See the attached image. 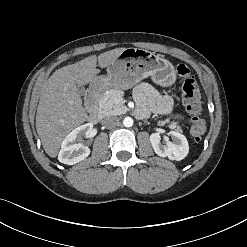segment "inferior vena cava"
Returning a JSON list of instances; mask_svg holds the SVG:
<instances>
[{
    "label": "inferior vena cava",
    "mask_w": 247,
    "mask_h": 247,
    "mask_svg": "<svg viewBox=\"0 0 247 247\" xmlns=\"http://www.w3.org/2000/svg\"><path fill=\"white\" fill-rule=\"evenodd\" d=\"M119 118L117 116H106L102 119L101 123L102 125L108 127V128H113L119 124Z\"/></svg>",
    "instance_id": "inferior-vena-cava-1"
}]
</instances>
